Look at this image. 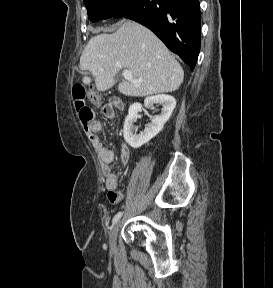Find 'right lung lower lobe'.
Returning a JSON list of instances; mask_svg holds the SVG:
<instances>
[{
	"label": "right lung lower lobe",
	"instance_id": "1",
	"mask_svg": "<svg viewBox=\"0 0 273 288\" xmlns=\"http://www.w3.org/2000/svg\"><path fill=\"white\" fill-rule=\"evenodd\" d=\"M122 17L149 28L191 69L195 67L201 42L199 0H137Z\"/></svg>",
	"mask_w": 273,
	"mask_h": 288
}]
</instances>
